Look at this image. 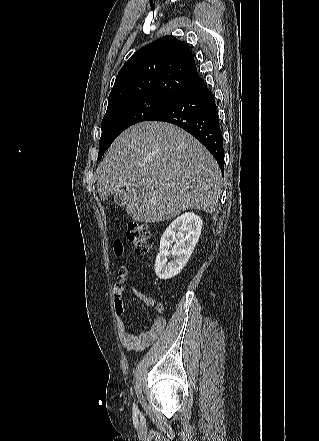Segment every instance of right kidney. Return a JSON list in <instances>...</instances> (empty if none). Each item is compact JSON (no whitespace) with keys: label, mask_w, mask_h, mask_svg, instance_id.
Returning <instances> with one entry per match:
<instances>
[{"label":"right kidney","mask_w":319,"mask_h":441,"mask_svg":"<svg viewBox=\"0 0 319 441\" xmlns=\"http://www.w3.org/2000/svg\"><path fill=\"white\" fill-rule=\"evenodd\" d=\"M202 224L198 215L188 212L177 217L166 228L160 240L154 267L158 278L167 280L181 272L199 240ZM173 242L175 244L172 246ZM170 253L175 258L167 263Z\"/></svg>","instance_id":"1"}]
</instances>
